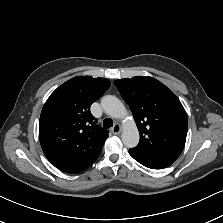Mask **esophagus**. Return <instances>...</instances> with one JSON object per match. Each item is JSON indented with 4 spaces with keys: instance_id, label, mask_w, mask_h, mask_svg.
<instances>
[{
    "instance_id": "esophagus-1",
    "label": "esophagus",
    "mask_w": 223,
    "mask_h": 223,
    "mask_svg": "<svg viewBox=\"0 0 223 223\" xmlns=\"http://www.w3.org/2000/svg\"><path fill=\"white\" fill-rule=\"evenodd\" d=\"M111 132L114 135H118L121 132V126H120V124L119 123H115L114 126L111 129Z\"/></svg>"
}]
</instances>
